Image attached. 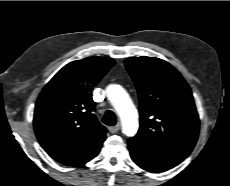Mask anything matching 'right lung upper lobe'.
Instances as JSON below:
<instances>
[{
  "mask_svg": "<svg viewBox=\"0 0 230 186\" xmlns=\"http://www.w3.org/2000/svg\"><path fill=\"white\" fill-rule=\"evenodd\" d=\"M115 61L88 57L64 66L43 88L34 112V129L43 149L70 166L94 158L106 138V129L93 114V87Z\"/></svg>",
  "mask_w": 230,
  "mask_h": 186,
  "instance_id": "obj_1",
  "label": "right lung upper lobe"
}]
</instances>
